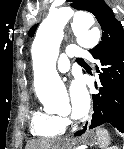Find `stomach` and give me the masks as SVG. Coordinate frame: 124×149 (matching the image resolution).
<instances>
[{"instance_id":"1","label":"stomach","mask_w":124,"mask_h":149,"mask_svg":"<svg viewBox=\"0 0 124 149\" xmlns=\"http://www.w3.org/2000/svg\"><path fill=\"white\" fill-rule=\"evenodd\" d=\"M95 139H96V137H95V135L93 133H87L85 135V141H86V143H92V142L95 141Z\"/></svg>"}]
</instances>
